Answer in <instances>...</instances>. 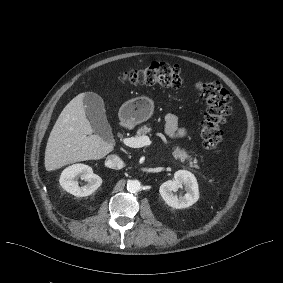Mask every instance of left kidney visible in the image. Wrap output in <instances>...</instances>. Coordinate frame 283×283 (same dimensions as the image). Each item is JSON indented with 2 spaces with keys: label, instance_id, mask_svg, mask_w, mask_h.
<instances>
[{
  "label": "left kidney",
  "instance_id": "5707ae66",
  "mask_svg": "<svg viewBox=\"0 0 283 283\" xmlns=\"http://www.w3.org/2000/svg\"><path fill=\"white\" fill-rule=\"evenodd\" d=\"M185 186L184 196L175 195L178 188ZM159 192L163 200L172 208L182 209L192 206L199 199V190L197 180L191 172L187 170H178L174 174L173 180L164 182Z\"/></svg>",
  "mask_w": 283,
  "mask_h": 283
}]
</instances>
